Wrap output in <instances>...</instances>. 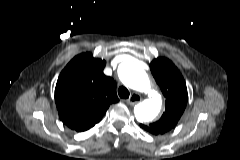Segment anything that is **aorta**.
I'll return each instance as SVG.
<instances>
[{
  "label": "aorta",
  "instance_id": "1",
  "mask_svg": "<svg viewBox=\"0 0 240 160\" xmlns=\"http://www.w3.org/2000/svg\"><path fill=\"white\" fill-rule=\"evenodd\" d=\"M118 75L126 86L147 95V98L134 109L136 119L139 122H149L155 119L162 107V97L152 88L145 71L137 63L125 61L119 65Z\"/></svg>",
  "mask_w": 240,
  "mask_h": 160
}]
</instances>
